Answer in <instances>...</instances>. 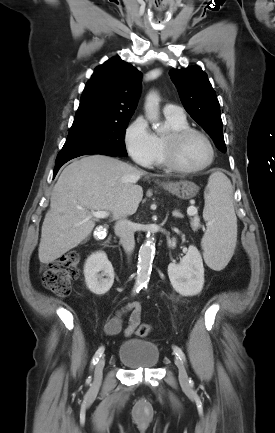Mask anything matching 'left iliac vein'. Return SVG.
Wrapping results in <instances>:
<instances>
[{
	"instance_id": "1",
	"label": "left iliac vein",
	"mask_w": 275,
	"mask_h": 433,
	"mask_svg": "<svg viewBox=\"0 0 275 433\" xmlns=\"http://www.w3.org/2000/svg\"><path fill=\"white\" fill-rule=\"evenodd\" d=\"M175 364L178 368V372H179V380L182 384H187L188 383V375H187V371L186 368L182 362V360L178 357L175 358Z\"/></svg>"
}]
</instances>
